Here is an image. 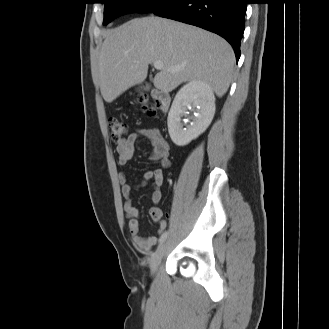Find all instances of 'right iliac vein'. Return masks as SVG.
Here are the masks:
<instances>
[{
    "label": "right iliac vein",
    "mask_w": 329,
    "mask_h": 329,
    "mask_svg": "<svg viewBox=\"0 0 329 329\" xmlns=\"http://www.w3.org/2000/svg\"><path fill=\"white\" fill-rule=\"evenodd\" d=\"M166 250V244L162 243L157 250L155 251V253L153 254L152 258H151V263H150V271L151 274H154L162 260V257L165 253Z\"/></svg>",
    "instance_id": "obj_1"
}]
</instances>
